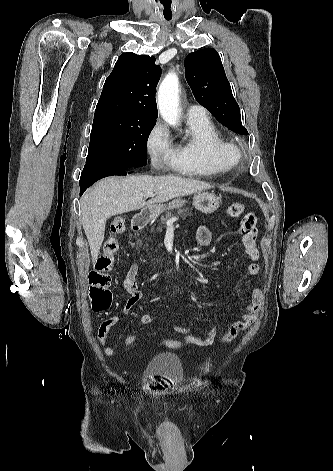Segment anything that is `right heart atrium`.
Masks as SVG:
<instances>
[{"instance_id": "1", "label": "right heart atrium", "mask_w": 333, "mask_h": 471, "mask_svg": "<svg viewBox=\"0 0 333 471\" xmlns=\"http://www.w3.org/2000/svg\"><path fill=\"white\" fill-rule=\"evenodd\" d=\"M146 151L153 166L160 168L166 164L172 154V142L168 129L157 121L146 137Z\"/></svg>"}]
</instances>
